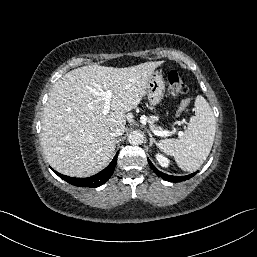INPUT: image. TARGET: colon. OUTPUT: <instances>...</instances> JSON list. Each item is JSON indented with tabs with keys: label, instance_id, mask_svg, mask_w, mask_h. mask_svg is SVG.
Instances as JSON below:
<instances>
[{
	"label": "colon",
	"instance_id": "5ec220e1",
	"mask_svg": "<svg viewBox=\"0 0 257 257\" xmlns=\"http://www.w3.org/2000/svg\"><path fill=\"white\" fill-rule=\"evenodd\" d=\"M169 92L174 97L185 96L188 92L187 86L183 82L180 74L176 70H171L167 75ZM189 99L184 98L177 109V114H182L189 105Z\"/></svg>",
	"mask_w": 257,
	"mask_h": 257
}]
</instances>
